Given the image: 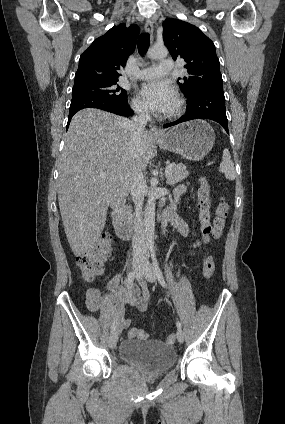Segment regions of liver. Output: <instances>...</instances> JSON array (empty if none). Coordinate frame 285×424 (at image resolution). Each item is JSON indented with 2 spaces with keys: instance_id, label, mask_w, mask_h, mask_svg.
I'll return each instance as SVG.
<instances>
[{
  "instance_id": "liver-1",
  "label": "liver",
  "mask_w": 285,
  "mask_h": 424,
  "mask_svg": "<svg viewBox=\"0 0 285 424\" xmlns=\"http://www.w3.org/2000/svg\"><path fill=\"white\" fill-rule=\"evenodd\" d=\"M130 120L99 109L77 112L70 123L58 164V202L69 245L75 256L99 238L110 205L130 191L135 166L145 170L153 139L141 137L137 158L131 155ZM105 173V177L100 174Z\"/></svg>"
}]
</instances>
